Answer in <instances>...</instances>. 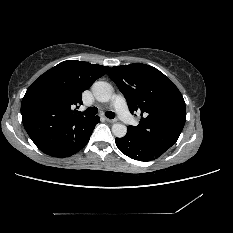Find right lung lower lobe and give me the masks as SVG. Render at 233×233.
Returning <instances> with one entry per match:
<instances>
[{"label":"right lung lower lobe","mask_w":233,"mask_h":233,"mask_svg":"<svg viewBox=\"0 0 233 233\" xmlns=\"http://www.w3.org/2000/svg\"><path fill=\"white\" fill-rule=\"evenodd\" d=\"M99 122V116L91 117L85 127L76 135L73 141L58 151L48 155L58 158L69 157L81 150L89 141L95 125Z\"/></svg>","instance_id":"obj_1"}]
</instances>
